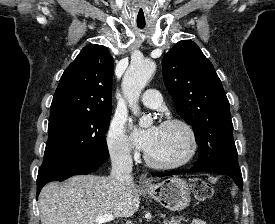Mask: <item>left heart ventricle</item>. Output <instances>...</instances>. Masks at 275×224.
<instances>
[{"mask_svg": "<svg viewBox=\"0 0 275 224\" xmlns=\"http://www.w3.org/2000/svg\"><path fill=\"white\" fill-rule=\"evenodd\" d=\"M189 148L186 132L179 126H160L152 148L147 152L155 161L175 162L183 158Z\"/></svg>", "mask_w": 275, "mask_h": 224, "instance_id": "left-heart-ventricle-1", "label": "left heart ventricle"}]
</instances>
